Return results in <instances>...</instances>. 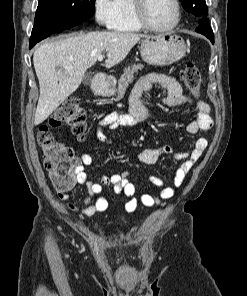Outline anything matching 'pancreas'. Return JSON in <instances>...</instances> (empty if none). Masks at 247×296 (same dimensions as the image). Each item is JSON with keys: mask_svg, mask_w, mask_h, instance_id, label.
<instances>
[{"mask_svg": "<svg viewBox=\"0 0 247 296\" xmlns=\"http://www.w3.org/2000/svg\"><path fill=\"white\" fill-rule=\"evenodd\" d=\"M142 68V64H137L131 65V67L125 69L124 74L118 80L117 99H121L125 95L128 85L133 82L134 74L138 73V70H141Z\"/></svg>", "mask_w": 247, "mask_h": 296, "instance_id": "obj_1", "label": "pancreas"}]
</instances>
